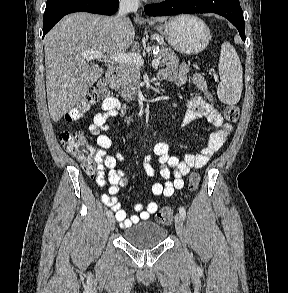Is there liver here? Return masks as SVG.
<instances>
[{
    "mask_svg": "<svg viewBox=\"0 0 288 293\" xmlns=\"http://www.w3.org/2000/svg\"><path fill=\"white\" fill-rule=\"evenodd\" d=\"M134 22L141 25L144 20L136 17ZM134 37L135 28L129 18L117 20L86 12L67 15L53 27L45 37L46 91L53 121L70 111L104 73L98 64H89L82 53H125Z\"/></svg>",
    "mask_w": 288,
    "mask_h": 293,
    "instance_id": "liver-1",
    "label": "liver"
}]
</instances>
